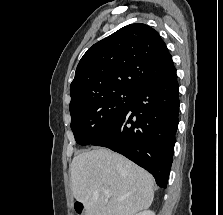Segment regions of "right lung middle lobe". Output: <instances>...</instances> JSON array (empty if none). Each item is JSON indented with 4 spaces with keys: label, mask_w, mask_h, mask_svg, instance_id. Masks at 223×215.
<instances>
[{
    "label": "right lung middle lobe",
    "mask_w": 223,
    "mask_h": 215,
    "mask_svg": "<svg viewBox=\"0 0 223 215\" xmlns=\"http://www.w3.org/2000/svg\"><path fill=\"white\" fill-rule=\"evenodd\" d=\"M135 93L118 90L70 109L71 129L80 145L92 144L123 116Z\"/></svg>",
    "instance_id": "right-lung-middle-lobe-1"
}]
</instances>
